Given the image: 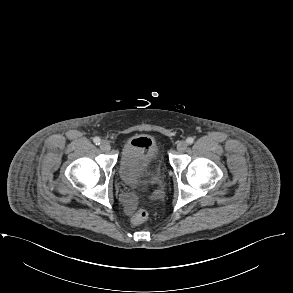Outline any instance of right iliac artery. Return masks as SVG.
I'll list each match as a JSON object with an SVG mask.
<instances>
[{"mask_svg":"<svg viewBox=\"0 0 293 293\" xmlns=\"http://www.w3.org/2000/svg\"><path fill=\"white\" fill-rule=\"evenodd\" d=\"M93 141H94V143H95L96 145H99L100 142H101V140H100L99 137H95V138L93 139Z\"/></svg>","mask_w":293,"mask_h":293,"instance_id":"right-iliac-artery-1","label":"right iliac artery"}]
</instances>
